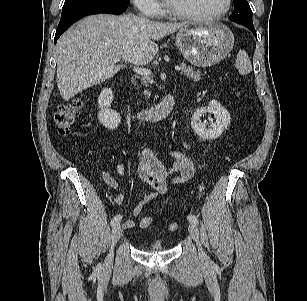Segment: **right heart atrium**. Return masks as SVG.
<instances>
[{
    "label": "right heart atrium",
    "instance_id": "right-heart-atrium-1",
    "mask_svg": "<svg viewBox=\"0 0 307 301\" xmlns=\"http://www.w3.org/2000/svg\"><path fill=\"white\" fill-rule=\"evenodd\" d=\"M135 8L142 14L157 18L162 13V6L158 0H131Z\"/></svg>",
    "mask_w": 307,
    "mask_h": 301
}]
</instances>
